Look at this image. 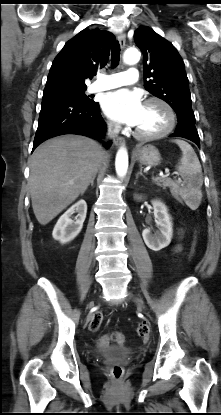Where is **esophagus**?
<instances>
[{
	"label": "esophagus",
	"mask_w": 221,
	"mask_h": 415,
	"mask_svg": "<svg viewBox=\"0 0 221 415\" xmlns=\"http://www.w3.org/2000/svg\"><path fill=\"white\" fill-rule=\"evenodd\" d=\"M117 38H118V41H119V44H120L121 48H124L125 47V43H126V35H125V33H123V32L120 33ZM124 143H125V140H124L123 137H116V138H114V145L115 146L119 147V146L123 145Z\"/></svg>",
	"instance_id": "obj_1"
}]
</instances>
